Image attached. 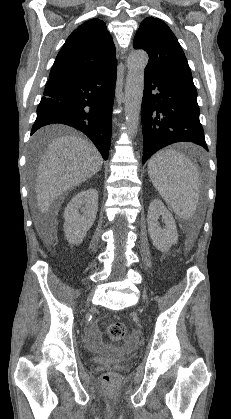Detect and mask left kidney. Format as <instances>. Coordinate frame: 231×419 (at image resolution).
Wrapping results in <instances>:
<instances>
[{
    "label": "left kidney",
    "mask_w": 231,
    "mask_h": 419,
    "mask_svg": "<svg viewBox=\"0 0 231 419\" xmlns=\"http://www.w3.org/2000/svg\"><path fill=\"white\" fill-rule=\"evenodd\" d=\"M161 217L165 226L162 228L158 222ZM148 233L153 245L160 251H167L178 241V232L175 220L165 205L158 199L149 204L147 214Z\"/></svg>",
    "instance_id": "1"
}]
</instances>
